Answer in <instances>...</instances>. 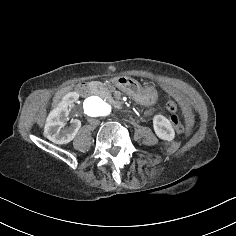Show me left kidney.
Wrapping results in <instances>:
<instances>
[{"instance_id":"1","label":"left kidney","mask_w":236,"mask_h":236,"mask_svg":"<svg viewBox=\"0 0 236 236\" xmlns=\"http://www.w3.org/2000/svg\"><path fill=\"white\" fill-rule=\"evenodd\" d=\"M153 127L156 135L163 140L172 141L175 137L171 122L163 115H155Z\"/></svg>"}]
</instances>
